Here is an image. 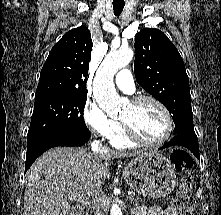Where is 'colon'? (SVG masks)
<instances>
[{"label": "colon", "instance_id": "colon-1", "mask_svg": "<svg viewBox=\"0 0 221 215\" xmlns=\"http://www.w3.org/2000/svg\"><path fill=\"white\" fill-rule=\"evenodd\" d=\"M171 161L174 167L182 173V181L173 200V206L179 215H193L195 202L191 191L192 156L184 149H175L171 153Z\"/></svg>", "mask_w": 221, "mask_h": 215}]
</instances>
